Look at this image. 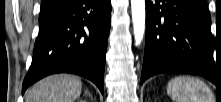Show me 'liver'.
Returning <instances> with one entry per match:
<instances>
[{
  "label": "liver",
  "instance_id": "obj_1",
  "mask_svg": "<svg viewBox=\"0 0 221 102\" xmlns=\"http://www.w3.org/2000/svg\"><path fill=\"white\" fill-rule=\"evenodd\" d=\"M82 92L81 80L69 74L49 76L25 95V102H73Z\"/></svg>",
  "mask_w": 221,
  "mask_h": 102
}]
</instances>
